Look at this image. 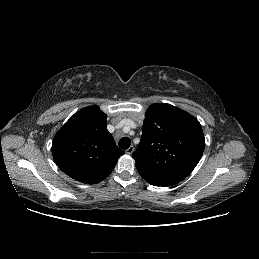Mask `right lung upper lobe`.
Masks as SVG:
<instances>
[{
	"label": "right lung upper lobe",
	"instance_id": "obj_1",
	"mask_svg": "<svg viewBox=\"0 0 259 259\" xmlns=\"http://www.w3.org/2000/svg\"><path fill=\"white\" fill-rule=\"evenodd\" d=\"M106 118L98 106H88L70 117L56 133L53 158L71 178L86 184L99 183L124 154L108 132Z\"/></svg>",
	"mask_w": 259,
	"mask_h": 259
}]
</instances>
